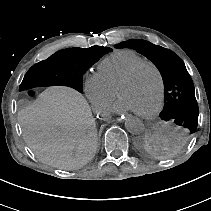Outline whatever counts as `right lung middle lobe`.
Listing matches in <instances>:
<instances>
[{
  "label": "right lung middle lobe",
  "mask_w": 211,
  "mask_h": 211,
  "mask_svg": "<svg viewBox=\"0 0 211 211\" xmlns=\"http://www.w3.org/2000/svg\"><path fill=\"white\" fill-rule=\"evenodd\" d=\"M111 51L110 48L99 46L60 50L48 59L33 65L23 79V87L29 89L64 85L82 93L83 74L104 54Z\"/></svg>",
  "instance_id": "obj_1"
}]
</instances>
